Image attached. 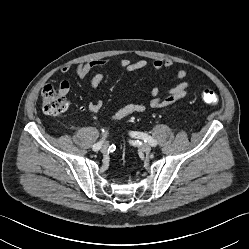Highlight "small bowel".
Returning <instances> with one entry per match:
<instances>
[{
	"instance_id": "1",
	"label": "small bowel",
	"mask_w": 249,
	"mask_h": 249,
	"mask_svg": "<svg viewBox=\"0 0 249 249\" xmlns=\"http://www.w3.org/2000/svg\"><path fill=\"white\" fill-rule=\"evenodd\" d=\"M108 63L107 58H96L88 61L78 63L75 66V73L80 78L87 77L91 71L104 67ZM120 66L126 72H134L146 68L150 65V62L146 59H139L132 61L128 58H122L120 60ZM155 71L161 72L163 70H170L174 67V62L171 59H159L156 58L151 62ZM71 70V66L66 65L62 68L63 73H68ZM187 70L180 66L175 72L174 80L176 85L162 92L159 87L154 86L151 89V99L147 104L143 103H130L126 104L109 116V121L122 120L131 115L142 113L148 109H163L175 104L176 102L184 99L190 94V81L186 79ZM105 80L103 73L94 74L89 81L90 92L95 91ZM70 83L67 80H63L59 84V92L64 96L70 92ZM103 103L100 99H91L87 103V110L90 112H98L101 110Z\"/></svg>"
}]
</instances>
